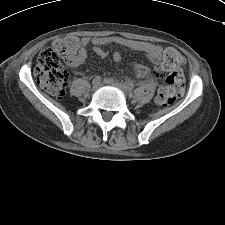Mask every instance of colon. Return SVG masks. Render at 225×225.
Listing matches in <instances>:
<instances>
[{
	"mask_svg": "<svg viewBox=\"0 0 225 225\" xmlns=\"http://www.w3.org/2000/svg\"><path fill=\"white\" fill-rule=\"evenodd\" d=\"M78 42L75 37H59L39 54L35 76L40 87L54 99L65 94L68 72L65 64H72L77 56ZM185 57L174 48H169L163 56V63L154 71L157 79H164L155 96V104L160 107L172 105L184 91V76L181 67Z\"/></svg>",
	"mask_w": 225,
	"mask_h": 225,
	"instance_id": "1",
	"label": "colon"
}]
</instances>
